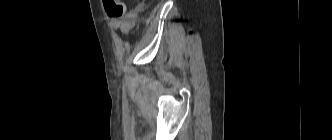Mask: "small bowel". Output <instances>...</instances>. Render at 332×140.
Wrapping results in <instances>:
<instances>
[{"mask_svg": "<svg viewBox=\"0 0 332 140\" xmlns=\"http://www.w3.org/2000/svg\"><path fill=\"white\" fill-rule=\"evenodd\" d=\"M137 12L138 9H133L123 18L114 20L112 23V28L115 31L127 35L135 26V19L137 17Z\"/></svg>", "mask_w": 332, "mask_h": 140, "instance_id": "small-bowel-1", "label": "small bowel"}]
</instances>
